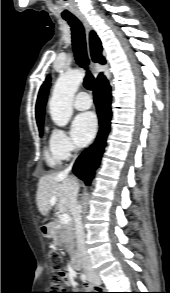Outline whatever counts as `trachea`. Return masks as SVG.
Instances as JSON below:
<instances>
[{
  "label": "trachea",
  "instance_id": "obj_1",
  "mask_svg": "<svg viewBox=\"0 0 170 293\" xmlns=\"http://www.w3.org/2000/svg\"><path fill=\"white\" fill-rule=\"evenodd\" d=\"M71 27L72 45L77 64L86 70L84 87L88 90L93 89L94 77L88 70L89 60L86 51L85 30L82 23L76 18L65 19Z\"/></svg>",
  "mask_w": 170,
  "mask_h": 293
}]
</instances>
